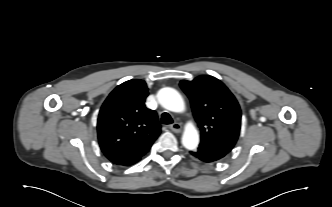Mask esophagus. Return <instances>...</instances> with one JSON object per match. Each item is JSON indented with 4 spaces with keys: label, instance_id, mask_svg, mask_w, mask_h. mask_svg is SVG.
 Instances as JSON below:
<instances>
[{
    "label": "esophagus",
    "instance_id": "34e87169",
    "mask_svg": "<svg viewBox=\"0 0 332 207\" xmlns=\"http://www.w3.org/2000/svg\"><path fill=\"white\" fill-rule=\"evenodd\" d=\"M173 132L175 133H179L181 131V124L180 123H173L172 125H170L169 127Z\"/></svg>",
    "mask_w": 332,
    "mask_h": 207
}]
</instances>
